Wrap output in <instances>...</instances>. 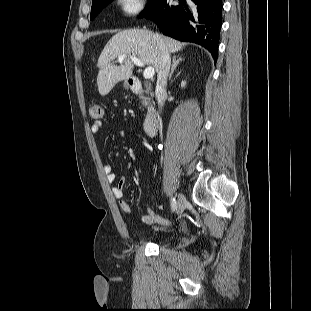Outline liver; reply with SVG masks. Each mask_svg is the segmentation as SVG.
<instances>
[{
	"mask_svg": "<svg viewBox=\"0 0 311 311\" xmlns=\"http://www.w3.org/2000/svg\"><path fill=\"white\" fill-rule=\"evenodd\" d=\"M161 39L169 53L183 49L184 43L176 41L145 29H129L115 34L105 45L98 59L97 86L100 95H107L119 81L132 76L134 63L130 56L137 57L144 64L152 66L157 72L160 62V50L157 40ZM122 54L126 57L120 66L114 65V60Z\"/></svg>",
	"mask_w": 311,
	"mask_h": 311,
	"instance_id": "6515ba94",
	"label": "liver"
}]
</instances>
